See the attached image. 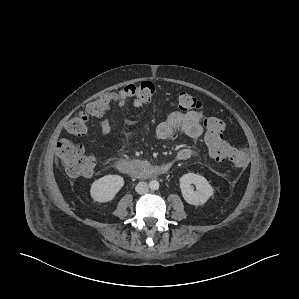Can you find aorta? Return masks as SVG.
<instances>
[{"label": "aorta", "instance_id": "obj_1", "mask_svg": "<svg viewBox=\"0 0 299 299\" xmlns=\"http://www.w3.org/2000/svg\"><path fill=\"white\" fill-rule=\"evenodd\" d=\"M151 190H158L159 189V182L157 180H151L149 183Z\"/></svg>", "mask_w": 299, "mask_h": 299}]
</instances>
